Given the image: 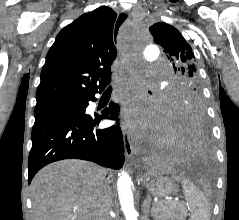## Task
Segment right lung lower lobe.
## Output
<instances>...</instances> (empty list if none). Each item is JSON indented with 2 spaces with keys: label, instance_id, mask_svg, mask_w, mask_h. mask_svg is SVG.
<instances>
[{
  "label": "right lung lower lobe",
  "instance_id": "right-lung-lower-lobe-1",
  "mask_svg": "<svg viewBox=\"0 0 239 220\" xmlns=\"http://www.w3.org/2000/svg\"><path fill=\"white\" fill-rule=\"evenodd\" d=\"M89 101H96L94 95L74 102L72 109L66 112L35 115L28 160L29 184L42 167L62 159L89 160L113 169L123 166L121 128L117 125L95 128L103 118L116 120L119 105L112 102L101 116L92 117L85 115Z\"/></svg>",
  "mask_w": 239,
  "mask_h": 220
}]
</instances>
